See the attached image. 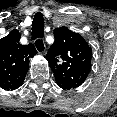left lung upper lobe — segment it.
Here are the masks:
<instances>
[{
    "label": "left lung upper lobe",
    "instance_id": "1",
    "mask_svg": "<svg viewBox=\"0 0 117 117\" xmlns=\"http://www.w3.org/2000/svg\"><path fill=\"white\" fill-rule=\"evenodd\" d=\"M55 42L48 50L47 60L54 72L56 83L63 89L80 86L91 70V48L83 37L66 27L54 29ZM61 54L65 60L58 67L54 57Z\"/></svg>",
    "mask_w": 117,
    "mask_h": 117
}]
</instances>
